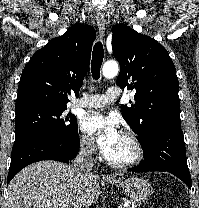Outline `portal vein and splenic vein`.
<instances>
[{
  "label": "portal vein and splenic vein",
  "mask_w": 199,
  "mask_h": 208,
  "mask_svg": "<svg viewBox=\"0 0 199 208\" xmlns=\"http://www.w3.org/2000/svg\"><path fill=\"white\" fill-rule=\"evenodd\" d=\"M128 206V204L126 203V204H124V205H119V207L118 208H124V207H127ZM63 208V207H62Z\"/></svg>",
  "instance_id": "18ae733b"
}]
</instances>
